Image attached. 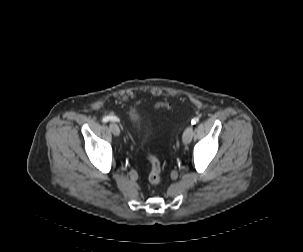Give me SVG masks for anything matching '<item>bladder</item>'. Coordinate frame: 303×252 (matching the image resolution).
<instances>
[{"mask_svg": "<svg viewBox=\"0 0 303 252\" xmlns=\"http://www.w3.org/2000/svg\"><path fill=\"white\" fill-rule=\"evenodd\" d=\"M129 119H130V121L133 124L139 126L140 125V121H141V114H140V112L137 109L131 110L130 113H129Z\"/></svg>", "mask_w": 303, "mask_h": 252, "instance_id": "bladder-1", "label": "bladder"}]
</instances>
